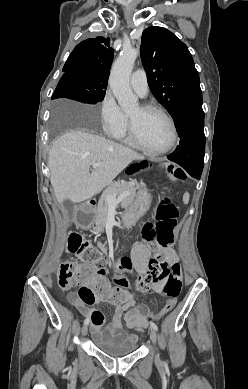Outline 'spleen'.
I'll return each instance as SVG.
<instances>
[{"instance_id": "obj_1", "label": "spleen", "mask_w": 248, "mask_h": 389, "mask_svg": "<svg viewBox=\"0 0 248 389\" xmlns=\"http://www.w3.org/2000/svg\"><path fill=\"white\" fill-rule=\"evenodd\" d=\"M189 198H190L189 193H188V192H185L184 195H183V202H184L185 204H188Z\"/></svg>"}]
</instances>
